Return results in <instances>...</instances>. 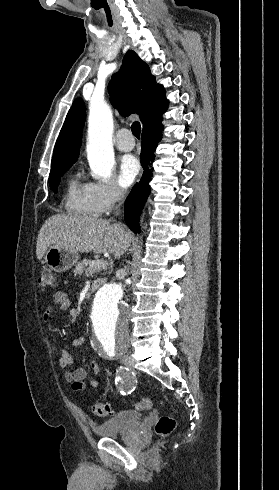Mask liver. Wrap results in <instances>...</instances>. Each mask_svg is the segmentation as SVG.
Here are the masks:
<instances>
[{
    "mask_svg": "<svg viewBox=\"0 0 279 490\" xmlns=\"http://www.w3.org/2000/svg\"><path fill=\"white\" fill-rule=\"evenodd\" d=\"M131 240V234H125V226H111L108 220L56 214L46 220L38 234L36 256L42 260L49 246L54 244L56 248L81 254H113L115 260H119Z\"/></svg>",
    "mask_w": 279,
    "mask_h": 490,
    "instance_id": "obj_1",
    "label": "liver"
}]
</instances>
